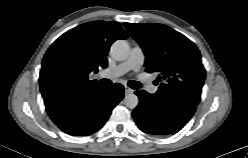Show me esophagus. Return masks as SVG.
Segmentation results:
<instances>
[{
    "mask_svg": "<svg viewBox=\"0 0 248 158\" xmlns=\"http://www.w3.org/2000/svg\"><path fill=\"white\" fill-rule=\"evenodd\" d=\"M132 92H133V90L131 88L125 86V94H130Z\"/></svg>",
    "mask_w": 248,
    "mask_h": 158,
    "instance_id": "34e87169",
    "label": "esophagus"
}]
</instances>
